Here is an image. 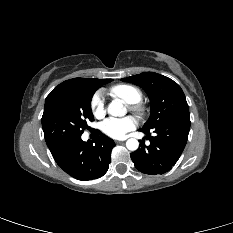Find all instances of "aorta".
Instances as JSON below:
<instances>
[{
  "label": "aorta",
  "instance_id": "1",
  "mask_svg": "<svg viewBox=\"0 0 233 233\" xmlns=\"http://www.w3.org/2000/svg\"><path fill=\"white\" fill-rule=\"evenodd\" d=\"M107 112L115 117L124 116L126 113L122 103L118 100H114L108 105ZM126 147L128 150L135 151L139 147V142L134 138H130L126 141Z\"/></svg>",
  "mask_w": 233,
  "mask_h": 233
}]
</instances>
